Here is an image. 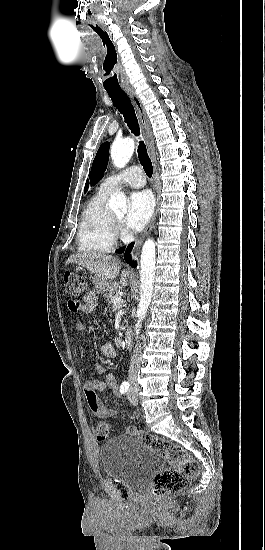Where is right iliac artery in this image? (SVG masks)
I'll use <instances>...</instances> for the list:
<instances>
[{"mask_svg":"<svg viewBox=\"0 0 265 550\" xmlns=\"http://www.w3.org/2000/svg\"><path fill=\"white\" fill-rule=\"evenodd\" d=\"M129 389V383L127 381L122 382L120 386V393L125 394Z\"/></svg>","mask_w":265,"mask_h":550,"instance_id":"82829eb1","label":"right iliac artery"}]
</instances>
